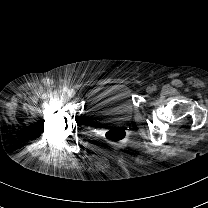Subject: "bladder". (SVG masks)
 Returning <instances> with one entry per match:
<instances>
[{"label": "bladder", "mask_w": 208, "mask_h": 208, "mask_svg": "<svg viewBox=\"0 0 208 208\" xmlns=\"http://www.w3.org/2000/svg\"><path fill=\"white\" fill-rule=\"evenodd\" d=\"M129 91L127 86L121 84L98 89L92 98L89 115H130Z\"/></svg>", "instance_id": "obj_1"}]
</instances>
